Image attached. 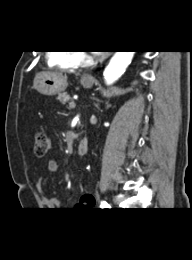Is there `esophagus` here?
<instances>
[{
  "label": "esophagus",
  "instance_id": "1",
  "mask_svg": "<svg viewBox=\"0 0 192 260\" xmlns=\"http://www.w3.org/2000/svg\"><path fill=\"white\" fill-rule=\"evenodd\" d=\"M84 77H85L86 79H90V80L93 79V76H92V75H89V74H88V75H85Z\"/></svg>",
  "mask_w": 192,
  "mask_h": 260
}]
</instances>
